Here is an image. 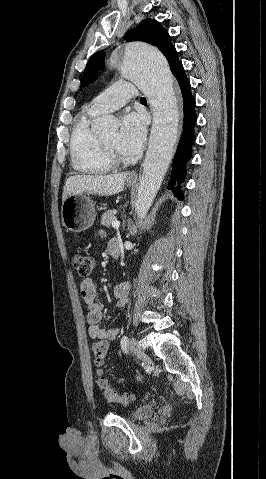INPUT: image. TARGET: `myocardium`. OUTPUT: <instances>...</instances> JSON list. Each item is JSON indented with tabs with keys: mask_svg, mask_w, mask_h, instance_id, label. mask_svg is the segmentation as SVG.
Instances as JSON below:
<instances>
[{
	"mask_svg": "<svg viewBox=\"0 0 266 479\" xmlns=\"http://www.w3.org/2000/svg\"><path fill=\"white\" fill-rule=\"evenodd\" d=\"M100 142L101 146L103 149V152L107 158L108 161H110L114 166L119 165L123 163L125 160L121 156L120 153H118L116 150H114L105 140L103 137H100Z\"/></svg>",
	"mask_w": 266,
	"mask_h": 479,
	"instance_id": "f54148a6",
	"label": "myocardium"
}]
</instances>
